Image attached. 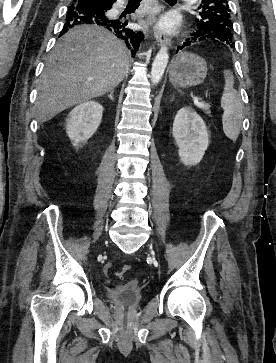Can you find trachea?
Wrapping results in <instances>:
<instances>
[{
    "label": "trachea",
    "instance_id": "obj_1",
    "mask_svg": "<svg viewBox=\"0 0 276 363\" xmlns=\"http://www.w3.org/2000/svg\"><path fill=\"white\" fill-rule=\"evenodd\" d=\"M166 1L171 4H174L176 2V0H166ZM140 2H141V0H129V4L136 5V6H139Z\"/></svg>",
    "mask_w": 276,
    "mask_h": 363
}]
</instances>
